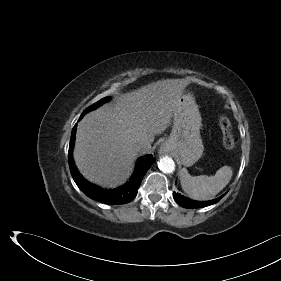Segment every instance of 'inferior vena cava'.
<instances>
[{
    "label": "inferior vena cava",
    "mask_w": 281,
    "mask_h": 281,
    "mask_svg": "<svg viewBox=\"0 0 281 281\" xmlns=\"http://www.w3.org/2000/svg\"><path fill=\"white\" fill-rule=\"evenodd\" d=\"M151 148V145L149 143H141L137 146V151L140 153H146Z\"/></svg>",
    "instance_id": "1"
}]
</instances>
